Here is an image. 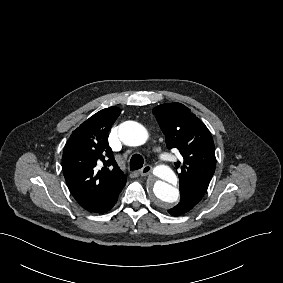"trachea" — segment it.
Wrapping results in <instances>:
<instances>
[{
  "label": "trachea",
  "instance_id": "obj_1",
  "mask_svg": "<svg viewBox=\"0 0 283 283\" xmlns=\"http://www.w3.org/2000/svg\"><path fill=\"white\" fill-rule=\"evenodd\" d=\"M144 158L140 154H134L130 159V170H138L143 167Z\"/></svg>",
  "mask_w": 283,
  "mask_h": 283
}]
</instances>
